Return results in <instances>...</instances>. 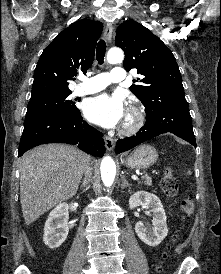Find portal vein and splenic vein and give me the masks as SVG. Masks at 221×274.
<instances>
[{"label":"portal vein and splenic vein","instance_id":"portal-vein-and-splenic-vein-1","mask_svg":"<svg viewBox=\"0 0 221 274\" xmlns=\"http://www.w3.org/2000/svg\"><path fill=\"white\" fill-rule=\"evenodd\" d=\"M132 179H133V180H138V176L132 175Z\"/></svg>","mask_w":221,"mask_h":274}]
</instances>
